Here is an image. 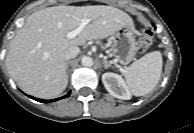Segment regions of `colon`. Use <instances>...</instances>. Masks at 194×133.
I'll list each match as a JSON object with an SVG mask.
<instances>
[{
    "label": "colon",
    "instance_id": "5ec220e1",
    "mask_svg": "<svg viewBox=\"0 0 194 133\" xmlns=\"http://www.w3.org/2000/svg\"><path fill=\"white\" fill-rule=\"evenodd\" d=\"M153 43V34L150 30L144 29L141 38L138 41V49L140 52H146Z\"/></svg>",
    "mask_w": 194,
    "mask_h": 133
}]
</instances>
